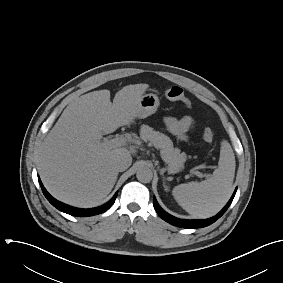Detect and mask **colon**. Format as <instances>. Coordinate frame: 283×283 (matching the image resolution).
<instances>
[{
  "label": "colon",
  "mask_w": 283,
  "mask_h": 283,
  "mask_svg": "<svg viewBox=\"0 0 283 283\" xmlns=\"http://www.w3.org/2000/svg\"><path fill=\"white\" fill-rule=\"evenodd\" d=\"M164 95L169 100L181 101L187 106H190L191 104L189 99L185 96L183 89L178 86H173V87L168 88L167 90H165ZM202 136L206 142L212 143L214 140L215 134L212 129L205 127L203 129Z\"/></svg>",
  "instance_id": "colon-1"
}]
</instances>
